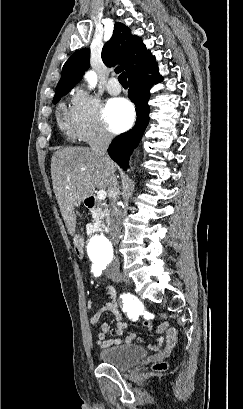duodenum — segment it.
<instances>
[{
	"instance_id": "duodenum-1",
	"label": "duodenum",
	"mask_w": 243,
	"mask_h": 409,
	"mask_svg": "<svg viewBox=\"0 0 243 409\" xmlns=\"http://www.w3.org/2000/svg\"><path fill=\"white\" fill-rule=\"evenodd\" d=\"M85 205L88 209L101 212L96 221L89 226V230L92 232L103 233L107 231L108 222L106 214H104L105 205L100 203L94 196H88L85 199Z\"/></svg>"
}]
</instances>
